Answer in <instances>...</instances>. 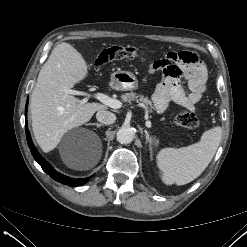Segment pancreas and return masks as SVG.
<instances>
[{
  "label": "pancreas",
  "instance_id": "obj_1",
  "mask_svg": "<svg viewBox=\"0 0 247 247\" xmlns=\"http://www.w3.org/2000/svg\"><path fill=\"white\" fill-rule=\"evenodd\" d=\"M121 98L124 102L130 103V102L135 101L139 105L144 107L150 113L153 112L154 106H153L152 102L148 99V97H145L142 94H136V93L130 92V93H126V94L122 95Z\"/></svg>",
  "mask_w": 247,
  "mask_h": 247
}]
</instances>
